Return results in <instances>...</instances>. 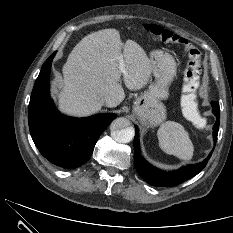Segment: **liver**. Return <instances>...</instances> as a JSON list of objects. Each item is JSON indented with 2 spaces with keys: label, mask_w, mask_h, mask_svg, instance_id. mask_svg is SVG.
Segmentation results:
<instances>
[{
  "label": "liver",
  "mask_w": 233,
  "mask_h": 233,
  "mask_svg": "<svg viewBox=\"0 0 233 233\" xmlns=\"http://www.w3.org/2000/svg\"><path fill=\"white\" fill-rule=\"evenodd\" d=\"M123 55L125 73L119 70ZM63 80L57 91L59 109L73 116H89L101 109L110 96L114 106L125 98L121 75L130 90L143 88L151 74V62L144 49L128 39L122 43L116 29H104L85 36L71 51L63 66Z\"/></svg>",
  "instance_id": "1"
}]
</instances>
